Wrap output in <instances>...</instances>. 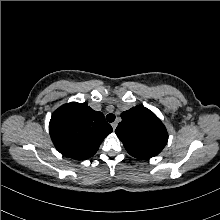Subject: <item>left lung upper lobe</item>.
I'll list each match as a JSON object with an SVG mask.
<instances>
[{"label": "left lung upper lobe", "instance_id": "5c2ea615", "mask_svg": "<svg viewBox=\"0 0 220 220\" xmlns=\"http://www.w3.org/2000/svg\"><path fill=\"white\" fill-rule=\"evenodd\" d=\"M122 121L115 130L127 152L138 159L158 155L168 141L161 120L148 108L136 106L121 114Z\"/></svg>", "mask_w": 220, "mask_h": 220}]
</instances>
